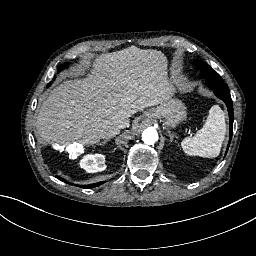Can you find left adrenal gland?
Instances as JSON below:
<instances>
[{"label":"left adrenal gland","instance_id":"obj_1","mask_svg":"<svg viewBox=\"0 0 256 256\" xmlns=\"http://www.w3.org/2000/svg\"><path fill=\"white\" fill-rule=\"evenodd\" d=\"M168 135L170 137V141L172 142L174 138H178L176 134L172 133L170 130H167Z\"/></svg>","mask_w":256,"mask_h":256}]
</instances>
